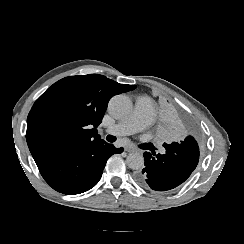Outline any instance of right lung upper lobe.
<instances>
[{
    "instance_id": "cb5924a9",
    "label": "right lung upper lobe",
    "mask_w": 244,
    "mask_h": 244,
    "mask_svg": "<svg viewBox=\"0 0 244 244\" xmlns=\"http://www.w3.org/2000/svg\"><path fill=\"white\" fill-rule=\"evenodd\" d=\"M135 88L99 74L69 76L54 83L27 118L26 140L33 158L102 141L96 128L109 99Z\"/></svg>"
}]
</instances>
